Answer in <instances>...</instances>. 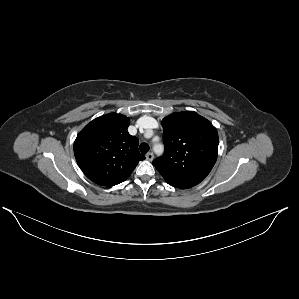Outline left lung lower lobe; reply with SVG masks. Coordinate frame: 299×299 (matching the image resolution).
Listing matches in <instances>:
<instances>
[{"instance_id": "left-lung-lower-lobe-1", "label": "left lung lower lobe", "mask_w": 299, "mask_h": 299, "mask_svg": "<svg viewBox=\"0 0 299 299\" xmlns=\"http://www.w3.org/2000/svg\"><path fill=\"white\" fill-rule=\"evenodd\" d=\"M170 185L173 187H176V188H180V189H186V188L193 187V186H185V185H173V184H170Z\"/></svg>"}]
</instances>
